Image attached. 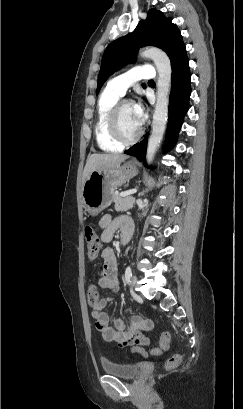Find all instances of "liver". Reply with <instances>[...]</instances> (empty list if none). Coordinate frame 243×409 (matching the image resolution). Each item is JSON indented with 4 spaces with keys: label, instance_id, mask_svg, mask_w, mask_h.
I'll list each match as a JSON object with an SVG mask.
<instances>
[{
    "label": "liver",
    "instance_id": "6515ba94",
    "mask_svg": "<svg viewBox=\"0 0 243 409\" xmlns=\"http://www.w3.org/2000/svg\"><path fill=\"white\" fill-rule=\"evenodd\" d=\"M128 158L124 154H92L88 157L83 171V183L91 172L104 171L119 166Z\"/></svg>",
    "mask_w": 243,
    "mask_h": 409
}]
</instances>
